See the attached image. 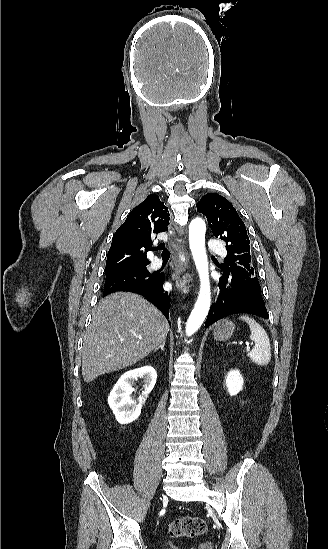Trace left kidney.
<instances>
[{"mask_svg":"<svg viewBox=\"0 0 328 549\" xmlns=\"http://www.w3.org/2000/svg\"><path fill=\"white\" fill-rule=\"evenodd\" d=\"M243 381L244 379L242 375H240L239 371H237V369L228 373L226 379V387L231 397H233V395H238L239 391H242Z\"/></svg>","mask_w":328,"mask_h":549,"instance_id":"5707ae66","label":"left kidney"}]
</instances>
